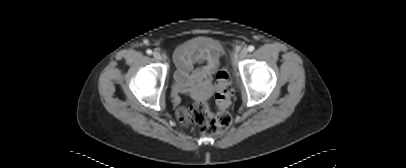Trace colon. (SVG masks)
Returning <instances> with one entry per match:
<instances>
[{
  "label": "colon",
  "instance_id": "1",
  "mask_svg": "<svg viewBox=\"0 0 406 168\" xmlns=\"http://www.w3.org/2000/svg\"><path fill=\"white\" fill-rule=\"evenodd\" d=\"M217 94L216 103L220 108L217 113L210 111L209 105L202 100H197L182 107L177 111V116L182 124H194L206 135H214L226 130L232 122V117L227 108L232 100L229 88V75L225 68L220 69L216 74Z\"/></svg>",
  "mask_w": 406,
  "mask_h": 168
}]
</instances>
